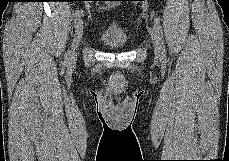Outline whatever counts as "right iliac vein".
Returning <instances> with one entry per match:
<instances>
[{"mask_svg":"<svg viewBox=\"0 0 229 161\" xmlns=\"http://www.w3.org/2000/svg\"><path fill=\"white\" fill-rule=\"evenodd\" d=\"M83 30H84V25H83V22L81 21L78 24L77 29L75 31V35H74V39H73V43H72V47H71L70 55H69L70 61H74L76 59L78 46L83 36Z\"/></svg>","mask_w":229,"mask_h":161,"instance_id":"1","label":"right iliac vein"}]
</instances>
